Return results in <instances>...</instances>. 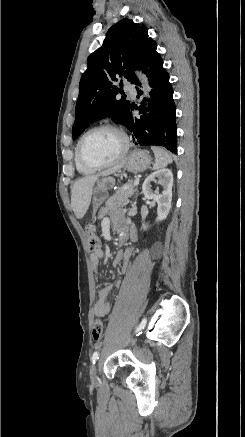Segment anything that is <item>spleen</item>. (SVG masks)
Wrapping results in <instances>:
<instances>
[{
    "instance_id": "3e777b00",
    "label": "spleen",
    "mask_w": 245,
    "mask_h": 437,
    "mask_svg": "<svg viewBox=\"0 0 245 437\" xmlns=\"http://www.w3.org/2000/svg\"><path fill=\"white\" fill-rule=\"evenodd\" d=\"M155 155V163L153 165L154 170L162 169L168 164L172 163V155L162 147L152 146L151 147Z\"/></svg>"
}]
</instances>
